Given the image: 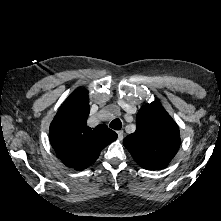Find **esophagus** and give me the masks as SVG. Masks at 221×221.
<instances>
[{
	"mask_svg": "<svg viewBox=\"0 0 221 221\" xmlns=\"http://www.w3.org/2000/svg\"><path fill=\"white\" fill-rule=\"evenodd\" d=\"M117 134H118V139L121 141L123 139L124 132L120 130V131H117Z\"/></svg>",
	"mask_w": 221,
	"mask_h": 221,
	"instance_id": "1",
	"label": "esophagus"
}]
</instances>
